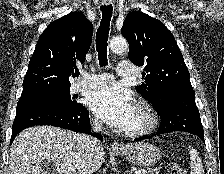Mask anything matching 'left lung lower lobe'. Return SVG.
Masks as SVG:
<instances>
[{
    "label": "left lung lower lobe",
    "mask_w": 224,
    "mask_h": 174,
    "mask_svg": "<svg viewBox=\"0 0 224 174\" xmlns=\"http://www.w3.org/2000/svg\"><path fill=\"white\" fill-rule=\"evenodd\" d=\"M153 107L161 117V125L153 135L183 131L197 135L204 141V131L194 93H163ZM150 137L152 135L142 136L135 139V141Z\"/></svg>",
    "instance_id": "0a47b994"
}]
</instances>
